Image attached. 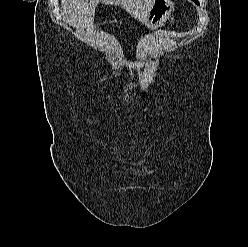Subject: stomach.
Returning <instances> with one entry per match:
<instances>
[{
  "label": "stomach",
  "instance_id": "0dacf381",
  "mask_svg": "<svg viewBox=\"0 0 248 247\" xmlns=\"http://www.w3.org/2000/svg\"><path fill=\"white\" fill-rule=\"evenodd\" d=\"M174 9L171 0H154L149 7L143 23L149 29H157L169 18Z\"/></svg>",
  "mask_w": 248,
  "mask_h": 247
}]
</instances>
